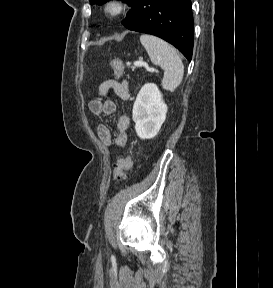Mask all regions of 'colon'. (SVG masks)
Returning a JSON list of instances; mask_svg holds the SVG:
<instances>
[{
  "mask_svg": "<svg viewBox=\"0 0 273 288\" xmlns=\"http://www.w3.org/2000/svg\"><path fill=\"white\" fill-rule=\"evenodd\" d=\"M112 69L114 74L119 77L123 74L124 65L119 58H115L112 61ZM132 167V158L131 156H125L119 158L114 166L113 170V179L114 181H121L126 178L128 171Z\"/></svg>",
  "mask_w": 273,
  "mask_h": 288,
  "instance_id": "colon-1",
  "label": "colon"
}]
</instances>
